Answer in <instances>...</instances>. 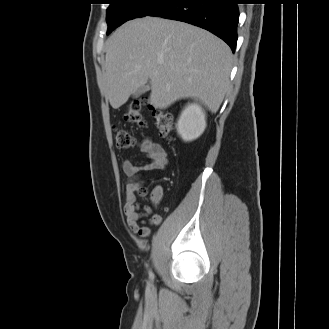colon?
<instances>
[{"mask_svg":"<svg viewBox=\"0 0 329 329\" xmlns=\"http://www.w3.org/2000/svg\"><path fill=\"white\" fill-rule=\"evenodd\" d=\"M124 118L131 124L144 127L143 101L139 99L131 101L126 107ZM153 118L159 134L165 138L171 137L174 131V121L171 111L168 109H154ZM114 135L117 146L120 149L126 150L133 148L136 145L133 135L124 129H115ZM139 192L141 194H146L144 188H140Z\"/></svg>","mask_w":329,"mask_h":329,"instance_id":"5ec220e1","label":"colon"}]
</instances>
